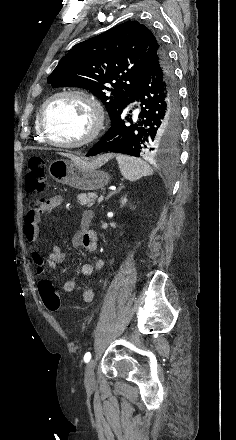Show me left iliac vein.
I'll return each mask as SVG.
<instances>
[{"mask_svg": "<svg viewBox=\"0 0 236 440\" xmlns=\"http://www.w3.org/2000/svg\"><path fill=\"white\" fill-rule=\"evenodd\" d=\"M95 366H96V361L92 359L91 361L88 362L85 368L84 382L88 390H91L95 387V376H94Z\"/></svg>", "mask_w": 236, "mask_h": 440, "instance_id": "4c4485c4", "label": "left iliac vein"}]
</instances>
